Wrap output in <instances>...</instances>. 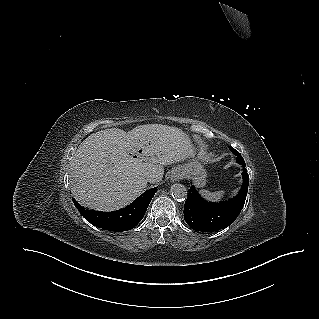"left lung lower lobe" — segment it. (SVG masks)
Instances as JSON below:
<instances>
[{
	"mask_svg": "<svg viewBox=\"0 0 319 319\" xmlns=\"http://www.w3.org/2000/svg\"><path fill=\"white\" fill-rule=\"evenodd\" d=\"M243 166V185L237 196L221 203H209L204 200L192 185L184 205V219L195 231L214 232L228 227L240 214L248 192L249 177ZM192 184V183H191Z\"/></svg>",
	"mask_w": 319,
	"mask_h": 319,
	"instance_id": "left-lung-lower-lobe-1",
	"label": "left lung lower lobe"
}]
</instances>
